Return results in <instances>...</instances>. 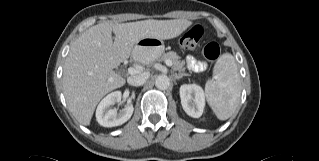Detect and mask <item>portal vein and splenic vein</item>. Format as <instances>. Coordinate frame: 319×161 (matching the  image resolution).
<instances>
[{
	"instance_id": "obj_1",
	"label": "portal vein and splenic vein",
	"mask_w": 319,
	"mask_h": 161,
	"mask_svg": "<svg viewBox=\"0 0 319 161\" xmlns=\"http://www.w3.org/2000/svg\"><path fill=\"white\" fill-rule=\"evenodd\" d=\"M165 64H166L167 66H172V63H171V61H169V60H166V61H165ZM128 73H129V74H135V73H137V69H135L134 67H130V68H128Z\"/></svg>"
}]
</instances>
